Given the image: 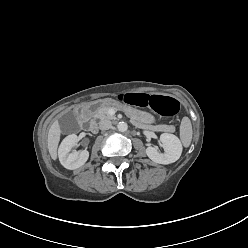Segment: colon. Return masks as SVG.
I'll use <instances>...</instances> for the list:
<instances>
[{"label":"colon","instance_id":"1","mask_svg":"<svg viewBox=\"0 0 248 248\" xmlns=\"http://www.w3.org/2000/svg\"><path fill=\"white\" fill-rule=\"evenodd\" d=\"M121 100L130 105L149 106L158 114L172 117L179 110V103L171 97L162 95H149L147 93H127L120 96Z\"/></svg>","mask_w":248,"mask_h":248}]
</instances>
